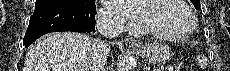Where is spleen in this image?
<instances>
[{
	"label": "spleen",
	"mask_w": 230,
	"mask_h": 71,
	"mask_svg": "<svg viewBox=\"0 0 230 71\" xmlns=\"http://www.w3.org/2000/svg\"><path fill=\"white\" fill-rule=\"evenodd\" d=\"M198 62L201 66H205L206 65V61L204 59H199L198 58Z\"/></svg>",
	"instance_id": "obj_1"
}]
</instances>
